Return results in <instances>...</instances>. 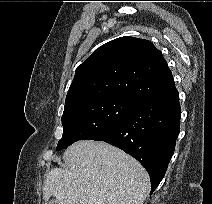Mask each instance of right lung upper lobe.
Instances as JSON below:
<instances>
[{
  "mask_svg": "<svg viewBox=\"0 0 212 204\" xmlns=\"http://www.w3.org/2000/svg\"><path fill=\"white\" fill-rule=\"evenodd\" d=\"M174 86L165 59L150 41L120 37L77 67L65 108L109 96L141 102Z\"/></svg>",
  "mask_w": 212,
  "mask_h": 204,
  "instance_id": "1",
  "label": "right lung upper lobe"
}]
</instances>
